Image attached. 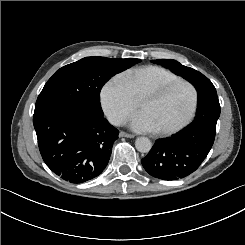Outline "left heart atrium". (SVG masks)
<instances>
[{
	"instance_id": "39dd6f15",
	"label": "left heart atrium",
	"mask_w": 245,
	"mask_h": 245,
	"mask_svg": "<svg viewBox=\"0 0 245 245\" xmlns=\"http://www.w3.org/2000/svg\"><path fill=\"white\" fill-rule=\"evenodd\" d=\"M133 130L138 132H154L157 131L156 126L149 119L146 113L138 112L131 120L130 123Z\"/></svg>"
}]
</instances>
